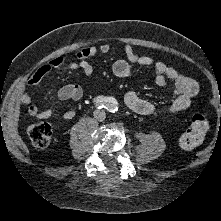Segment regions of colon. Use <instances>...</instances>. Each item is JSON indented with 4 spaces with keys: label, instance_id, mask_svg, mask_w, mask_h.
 I'll return each instance as SVG.
<instances>
[{
    "label": "colon",
    "instance_id": "5ec220e1",
    "mask_svg": "<svg viewBox=\"0 0 221 221\" xmlns=\"http://www.w3.org/2000/svg\"><path fill=\"white\" fill-rule=\"evenodd\" d=\"M208 130V119L204 114L192 117L188 129L179 138V145L183 149H192L199 145ZM28 137L37 148L49 146L52 139V129L47 123H33L27 129Z\"/></svg>",
    "mask_w": 221,
    "mask_h": 221
}]
</instances>
